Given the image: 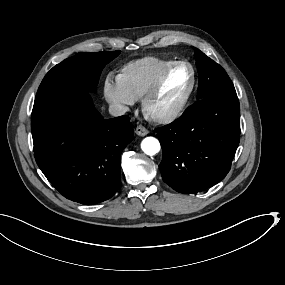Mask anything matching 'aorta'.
Masks as SVG:
<instances>
[{
    "instance_id": "1",
    "label": "aorta",
    "mask_w": 285,
    "mask_h": 285,
    "mask_svg": "<svg viewBox=\"0 0 285 285\" xmlns=\"http://www.w3.org/2000/svg\"><path fill=\"white\" fill-rule=\"evenodd\" d=\"M143 152L148 156H154L160 151V143L156 138L147 137L141 143Z\"/></svg>"
}]
</instances>
